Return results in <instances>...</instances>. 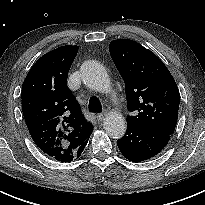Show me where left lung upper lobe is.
<instances>
[{"label": "left lung upper lobe", "instance_id": "obj_1", "mask_svg": "<svg viewBox=\"0 0 205 205\" xmlns=\"http://www.w3.org/2000/svg\"><path fill=\"white\" fill-rule=\"evenodd\" d=\"M111 57L125 82L133 124L171 135L177 124L180 95L165 64L150 50L129 39L114 40Z\"/></svg>", "mask_w": 205, "mask_h": 205}]
</instances>
